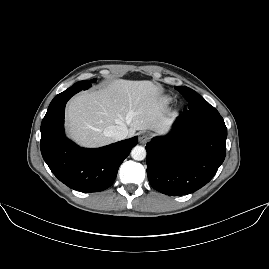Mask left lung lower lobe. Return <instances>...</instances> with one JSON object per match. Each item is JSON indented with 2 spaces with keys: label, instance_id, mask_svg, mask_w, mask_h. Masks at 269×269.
I'll list each match as a JSON object with an SVG mask.
<instances>
[{
  "label": "left lung lower lobe",
  "instance_id": "1",
  "mask_svg": "<svg viewBox=\"0 0 269 269\" xmlns=\"http://www.w3.org/2000/svg\"><path fill=\"white\" fill-rule=\"evenodd\" d=\"M227 128L219 113L176 119L171 134L146 145L151 186L170 196L195 192L216 174L226 155Z\"/></svg>",
  "mask_w": 269,
  "mask_h": 269
}]
</instances>
